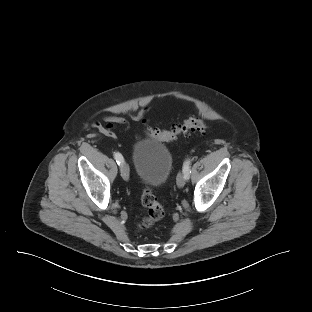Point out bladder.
I'll list each match as a JSON object with an SVG mask.
<instances>
[{"label":"bladder","instance_id":"bladder-1","mask_svg":"<svg viewBox=\"0 0 312 312\" xmlns=\"http://www.w3.org/2000/svg\"><path fill=\"white\" fill-rule=\"evenodd\" d=\"M135 172L142 183L160 187L172 170V156L169 149L156 140H139L132 149Z\"/></svg>","mask_w":312,"mask_h":312}]
</instances>
